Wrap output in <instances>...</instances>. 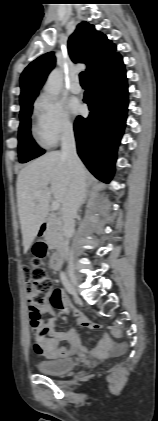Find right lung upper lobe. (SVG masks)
<instances>
[{
  "label": "right lung upper lobe",
  "instance_id": "1",
  "mask_svg": "<svg viewBox=\"0 0 158 421\" xmlns=\"http://www.w3.org/2000/svg\"><path fill=\"white\" fill-rule=\"evenodd\" d=\"M68 51L73 62L87 65L88 76L102 69L118 54L116 46L104 34L96 31L94 25L87 22L80 23L70 36ZM54 65V53L49 52L31 62L25 68L20 78L21 105L37 97L39 89Z\"/></svg>",
  "mask_w": 158,
  "mask_h": 421
}]
</instances>
